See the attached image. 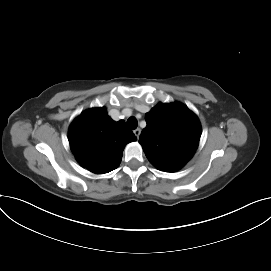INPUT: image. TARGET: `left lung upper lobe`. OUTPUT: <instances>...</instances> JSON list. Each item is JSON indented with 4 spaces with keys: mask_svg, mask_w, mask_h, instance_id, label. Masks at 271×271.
<instances>
[{
    "mask_svg": "<svg viewBox=\"0 0 271 271\" xmlns=\"http://www.w3.org/2000/svg\"><path fill=\"white\" fill-rule=\"evenodd\" d=\"M147 126L139 142L157 169H181L197 149L201 125L196 115L181 103H159L145 115Z\"/></svg>",
    "mask_w": 271,
    "mask_h": 271,
    "instance_id": "left-lung-upper-lobe-1",
    "label": "left lung upper lobe"
}]
</instances>
